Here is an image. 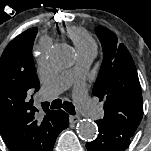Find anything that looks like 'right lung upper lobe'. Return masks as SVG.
<instances>
[{
	"mask_svg": "<svg viewBox=\"0 0 151 151\" xmlns=\"http://www.w3.org/2000/svg\"><path fill=\"white\" fill-rule=\"evenodd\" d=\"M34 28L14 38L2 55L28 49L27 37ZM32 54V52H31ZM35 67L24 69L20 78H11L0 71V131L10 151H52L56 134L54 123L57 110L42 103L39 114L30 94L39 90Z\"/></svg>",
	"mask_w": 151,
	"mask_h": 151,
	"instance_id": "cb5924a9",
	"label": "right lung upper lobe"
}]
</instances>
